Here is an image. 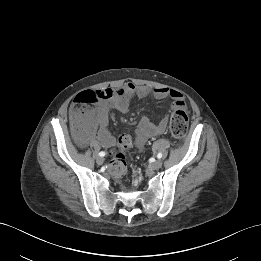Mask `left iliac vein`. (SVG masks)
<instances>
[{
	"label": "left iliac vein",
	"mask_w": 261,
	"mask_h": 261,
	"mask_svg": "<svg viewBox=\"0 0 261 261\" xmlns=\"http://www.w3.org/2000/svg\"><path fill=\"white\" fill-rule=\"evenodd\" d=\"M162 160L160 159H157L156 161H154L152 164H151V169L153 170H158L162 167Z\"/></svg>",
	"instance_id": "obj_1"
}]
</instances>
